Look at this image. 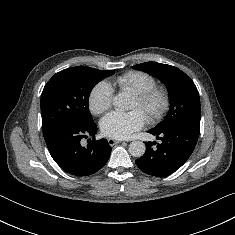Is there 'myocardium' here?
Segmentation results:
<instances>
[{
    "instance_id": "obj_1",
    "label": "myocardium",
    "mask_w": 235,
    "mask_h": 235,
    "mask_svg": "<svg viewBox=\"0 0 235 235\" xmlns=\"http://www.w3.org/2000/svg\"><path fill=\"white\" fill-rule=\"evenodd\" d=\"M147 110V119L150 123L162 120L171 106V95L164 86H154L148 90L134 94Z\"/></svg>"
}]
</instances>
